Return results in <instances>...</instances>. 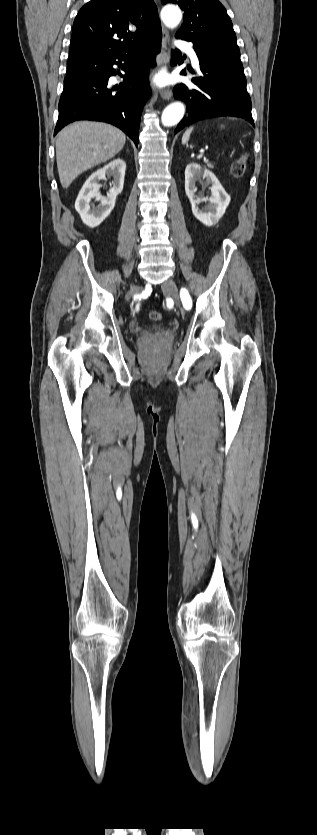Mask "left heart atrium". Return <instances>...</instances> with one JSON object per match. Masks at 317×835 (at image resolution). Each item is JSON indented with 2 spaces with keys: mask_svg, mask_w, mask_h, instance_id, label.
<instances>
[{
  "mask_svg": "<svg viewBox=\"0 0 317 835\" xmlns=\"http://www.w3.org/2000/svg\"><path fill=\"white\" fill-rule=\"evenodd\" d=\"M158 82L160 83V82H161V79H158Z\"/></svg>",
  "mask_w": 317,
  "mask_h": 835,
  "instance_id": "1",
  "label": "left heart atrium"
}]
</instances>
